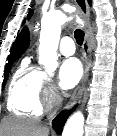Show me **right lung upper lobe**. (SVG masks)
<instances>
[{"label": "right lung upper lobe", "instance_id": "cb5924a9", "mask_svg": "<svg viewBox=\"0 0 117 136\" xmlns=\"http://www.w3.org/2000/svg\"><path fill=\"white\" fill-rule=\"evenodd\" d=\"M29 45V32L27 27L21 31L15 40L12 49L10 51V55L8 56V60L17 59L19 56L28 48Z\"/></svg>", "mask_w": 117, "mask_h": 136}]
</instances>
